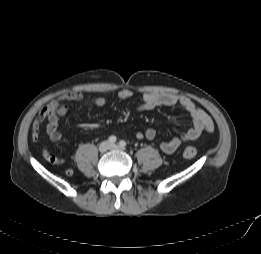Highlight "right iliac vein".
<instances>
[{
	"instance_id": "63e3f726",
	"label": "right iliac vein",
	"mask_w": 261,
	"mask_h": 254,
	"mask_svg": "<svg viewBox=\"0 0 261 254\" xmlns=\"http://www.w3.org/2000/svg\"><path fill=\"white\" fill-rule=\"evenodd\" d=\"M110 149V143L108 141H104L99 145V151L104 153Z\"/></svg>"
}]
</instances>
